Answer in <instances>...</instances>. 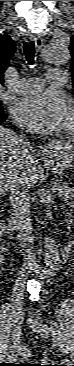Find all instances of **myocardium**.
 Returning <instances> with one entry per match:
<instances>
[{"label":"myocardium","instance_id":"obj_1","mask_svg":"<svg viewBox=\"0 0 74 366\" xmlns=\"http://www.w3.org/2000/svg\"><path fill=\"white\" fill-rule=\"evenodd\" d=\"M73 119H74V115L72 114V115H71V120H72V123H73Z\"/></svg>","mask_w":74,"mask_h":366}]
</instances>
